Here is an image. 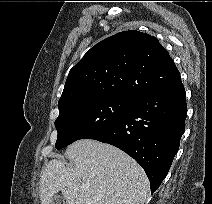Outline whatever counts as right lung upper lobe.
<instances>
[{
	"label": "right lung upper lobe",
	"mask_w": 212,
	"mask_h": 204,
	"mask_svg": "<svg viewBox=\"0 0 212 204\" xmlns=\"http://www.w3.org/2000/svg\"><path fill=\"white\" fill-rule=\"evenodd\" d=\"M179 80L173 60L155 37L124 31L96 44L70 70L58 107L107 96L135 100Z\"/></svg>",
	"instance_id": "1"
}]
</instances>
